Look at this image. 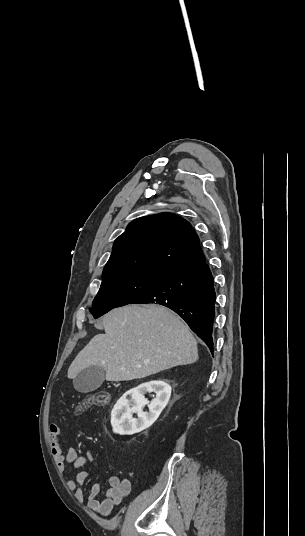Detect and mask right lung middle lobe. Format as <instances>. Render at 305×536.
I'll return each mask as SVG.
<instances>
[{
    "mask_svg": "<svg viewBox=\"0 0 305 536\" xmlns=\"http://www.w3.org/2000/svg\"><path fill=\"white\" fill-rule=\"evenodd\" d=\"M166 275L131 273L116 275L102 280L90 312L98 318L109 310L132 304L148 293Z\"/></svg>",
    "mask_w": 305,
    "mask_h": 536,
    "instance_id": "obj_1",
    "label": "right lung middle lobe"
}]
</instances>
